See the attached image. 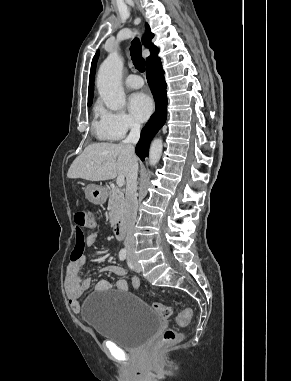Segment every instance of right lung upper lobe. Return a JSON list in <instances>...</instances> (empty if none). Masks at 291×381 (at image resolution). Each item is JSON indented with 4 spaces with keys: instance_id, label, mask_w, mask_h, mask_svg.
<instances>
[{
    "instance_id": "right-lung-upper-lobe-1",
    "label": "right lung upper lobe",
    "mask_w": 291,
    "mask_h": 381,
    "mask_svg": "<svg viewBox=\"0 0 291 381\" xmlns=\"http://www.w3.org/2000/svg\"><path fill=\"white\" fill-rule=\"evenodd\" d=\"M154 37V34L150 32V27L148 24H146V30L145 35L142 38L143 44L145 46L150 48L151 55L146 59V65H149L159 59L158 57V48L151 43V39ZM99 56V52L96 53L92 60L91 64V71H90V78H89V90H88V104L92 103L93 99V91H94V75H95V69H96V62Z\"/></svg>"
}]
</instances>
